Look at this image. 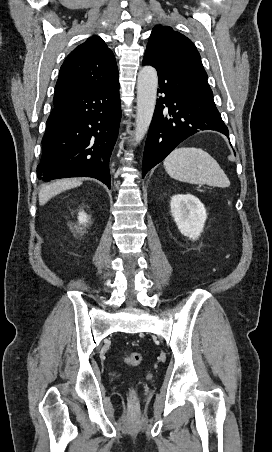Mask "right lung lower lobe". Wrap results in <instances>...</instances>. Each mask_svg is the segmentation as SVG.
Segmentation results:
<instances>
[{"label":"right lung lower lobe","instance_id":"98d812e1","mask_svg":"<svg viewBox=\"0 0 272 452\" xmlns=\"http://www.w3.org/2000/svg\"><path fill=\"white\" fill-rule=\"evenodd\" d=\"M121 118L118 79L54 107L42 139L38 178L92 177L111 188L109 160Z\"/></svg>","mask_w":272,"mask_h":452}]
</instances>
